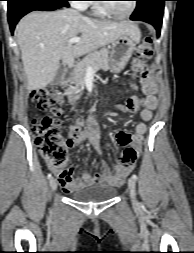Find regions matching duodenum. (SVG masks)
Returning <instances> with one entry per match:
<instances>
[{"mask_svg":"<svg viewBox=\"0 0 194 253\" xmlns=\"http://www.w3.org/2000/svg\"><path fill=\"white\" fill-rule=\"evenodd\" d=\"M67 79H68L67 74H64L63 77H62V79H61V84L66 83V82H67Z\"/></svg>","mask_w":194,"mask_h":253,"instance_id":"1","label":"duodenum"}]
</instances>
